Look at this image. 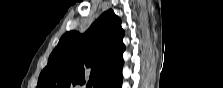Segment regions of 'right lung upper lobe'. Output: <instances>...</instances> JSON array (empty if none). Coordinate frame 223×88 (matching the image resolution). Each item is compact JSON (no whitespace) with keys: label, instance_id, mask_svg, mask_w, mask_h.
<instances>
[{"label":"right lung upper lobe","instance_id":"cb5924a9","mask_svg":"<svg viewBox=\"0 0 223 88\" xmlns=\"http://www.w3.org/2000/svg\"><path fill=\"white\" fill-rule=\"evenodd\" d=\"M124 31L110 9L84 33L68 32L51 53L37 88H70L86 79L94 88H109L122 81Z\"/></svg>","mask_w":223,"mask_h":88}]
</instances>
